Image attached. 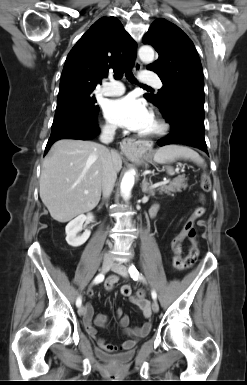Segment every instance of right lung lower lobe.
<instances>
[{
  "label": "right lung lower lobe",
  "instance_id": "98d812e1",
  "mask_svg": "<svg viewBox=\"0 0 247 385\" xmlns=\"http://www.w3.org/2000/svg\"><path fill=\"white\" fill-rule=\"evenodd\" d=\"M94 116H73L52 125L51 136L45 148V154L50 146L59 139L89 140L99 133Z\"/></svg>",
  "mask_w": 247,
  "mask_h": 385
}]
</instances>
